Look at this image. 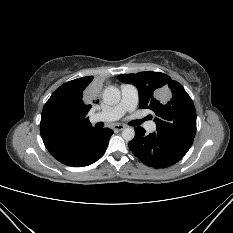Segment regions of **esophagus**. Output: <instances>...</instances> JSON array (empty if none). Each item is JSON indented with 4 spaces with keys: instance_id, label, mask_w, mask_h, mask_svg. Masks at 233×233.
Listing matches in <instances>:
<instances>
[{
    "instance_id": "obj_1",
    "label": "esophagus",
    "mask_w": 233,
    "mask_h": 233,
    "mask_svg": "<svg viewBox=\"0 0 233 233\" xmlns=\"http://www.w3.org/2000/svg\"><path fill=\"white\" fill-rule=\"evenodd\" d=\"M125 128H126V126L123 125V124H116V125L113 126V129L117 130V131H121V130H123Z\"/></svg>"
}]
</instances>
